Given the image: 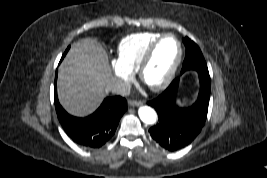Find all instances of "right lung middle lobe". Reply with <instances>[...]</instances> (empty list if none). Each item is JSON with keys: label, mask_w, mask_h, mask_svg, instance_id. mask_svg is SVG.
Wrapping results in <instances>:
<instances>
[{"label": "right lung middle lobe", "mask_w": 267, "mask_h": 178, "mask_svg": "<svg viewBox=\"0 0 267 178\" xmlns=\"http://www.w3.org/2000/svg\"><path fill=\"white\" fill-rule=\"evenodd\" d=\"M68 50H69V47L66 49V51H65V53H64V55H63V57L66 55V53L68 52ZM62 57V58H63Z\"/></svg>", "instance_id": "dd1d6c3e"}]
</instances>
